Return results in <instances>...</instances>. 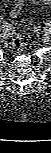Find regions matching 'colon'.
<instances>
[{"label": "colon", "mask_w": 51, "mask_h": 153, "mask_svg": "<svg viewBox=\"0 0 51 153\" xmlns=\"http://www.w3.org/2000/svg\"><path fill=\"white\" fill-rule=\"evenodd\" d=\"M17 14H14L12 17H16ZM24 40L20 37H17L15 39L12 40L11 42V46L14 50H20L24 47Z\"/></svg>", "instance_id": "5ec220e1"}]
</instances>
